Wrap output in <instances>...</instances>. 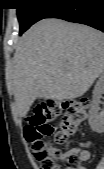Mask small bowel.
<instances>
[{"label": "small bowel", "mask_w": 104, "mask_h": 169, "mask_svg": "<svg viewBox=\"0 0 104 169\" xmlns=\"http://www.w3.org/2000/svg\"><path fill=\"white\" fill-rule=\"evenodd\" d=\"M76 152L80 155L83 161H87L90 158V152L88 150H76ZM81 169H85L81 167Z\"/></svg>", "instance_id": "small-bowel-1"}]
</instances>
